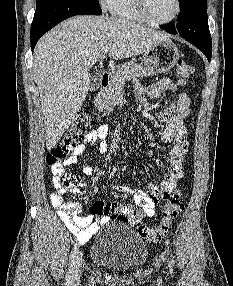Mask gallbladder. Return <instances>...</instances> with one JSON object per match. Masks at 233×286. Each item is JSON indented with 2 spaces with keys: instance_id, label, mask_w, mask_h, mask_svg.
<instances>
[{
  "instance_id": "obj_1",
  "label": "gallbladder",
  "mask_w": 233,
  "mask_h": 286,
  "mask_svg": "<svg viewBox=\"0 0 233 286\" xmlns=\"http://www.w3.org/2000/svg\"><path fill=\"white\" fill-rule=\"evenodd\" d=\"M101 81V74L94 72L90 75V83H89V89L95 90L99 87Z\"/></svg>"
}]
</instances>
